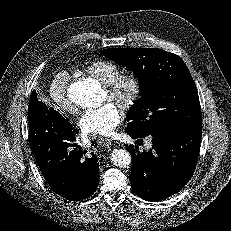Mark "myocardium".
<instances>
[{
    "instance_id": "1",
    "label": "myocardium",
    "mask_w": 231,
    "mask_h": 231,
    "mask_svg": "<svg viewBox=\"0 0 231 231\" xmlns=\"http://www.w3.org/2000/svg\"><path fill=\"white\" fill-rule=\"evenodd\" d=\"M108 99L115 101L123 110L132 109L144 92V79L137 73L120 75L111 84L104 86Z\"/></svg>"
}]
</instances>
